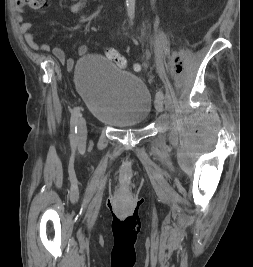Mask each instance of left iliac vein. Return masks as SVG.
Listing matches in <instances>:
<instances>
[{"label":"left iliac vein","mask_w":253,"mask_h":267,"mask_svg":"<svg viewBox=\"0 0 253 267\" xmlns=\"http://www.w3.org/2000/svg\"><path fill=\"white\" fill-rule=\"evenodd\" d=\"M155 107H156V110L158 111V112H162L163 111V103H162V98L161 97H159L158 99H156V101H155Z\"/></svg>","instance_id":"obj_1"}]
</instances>
